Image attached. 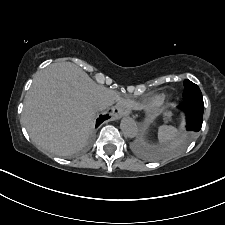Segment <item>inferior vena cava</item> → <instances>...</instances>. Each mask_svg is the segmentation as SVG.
Segmentation results:
<instances>
[{"label": "inferior vena cava", "mask_w": 225, "mask_h": 225, "mask_svg": "<svg viewBox=\"0 0 225 225\" xmlns=\"http://www.w3.org/2000/svg\"><path fill=\"white\" fill-rule=\"evenodd\" d=\"M108 107H109L108 103L102 102V103H100V104L98 105V110L102 111V110H105V109L108 108Z\"/></svg>", "instance_id": "inferior-vena-cava-1"}]
</instances>
